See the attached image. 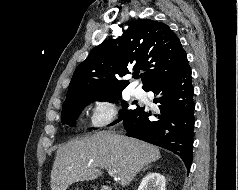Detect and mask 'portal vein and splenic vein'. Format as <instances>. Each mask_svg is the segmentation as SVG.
<instances>
[{"label":"portal vein and splenic vein","instance_id":"1","mask_svg":"<svg viewBox=\"0 0 238 190\" xmlns=\"http://www.w3.org/2000/svg\"><path fill=\"white\" fill-rule=\"evenodd\" d=\"M108 173L111 177H114L115 180H119V178L115 174V171L108 170Z\"/></svg>","mask_w":238,"mask_h":190}]
</instances>
